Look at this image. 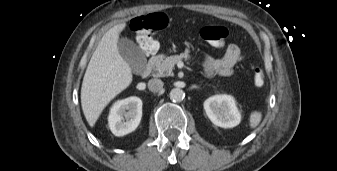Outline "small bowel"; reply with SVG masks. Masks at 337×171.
I'll use <instances>...</instances> for the list:
<instances>
[{"label": "small bowel", "instance_id": "1", "mask_svg": "<svg viewBox=\"0 0 337 171\" xmlns=\"http://www.w3.org/2000/svg\"><path fill=\"white\" fill-rule=\"evenodd\" d=\"M243 59L240 48L236 44H230L223 57L215 59L205 55L203 65L208 75L230 76L234 67Z\"/></svg>", "mask_w": 337, "mask_h": 171}]
</instances>
